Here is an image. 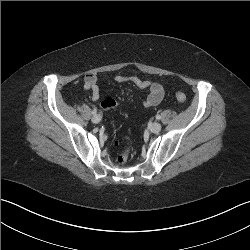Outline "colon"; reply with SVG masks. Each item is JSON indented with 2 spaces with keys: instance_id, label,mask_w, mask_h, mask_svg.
<instances>
[{
  "instance_id": "5ec220e1",
  "label": "colon",
  "mask_w": 250,
  "mask_h": 250,
  "mask_svg": "<svg viewBox=\"0 0 250 250\" xmlns=\"http://www.w3.org/2000/svg\"><path fill=\"white\" fill-rule=\"evenodd\" d=\"M176 98L179 102H185L186 101V95L181 92V91H178L176 93ZM102 107L104 109H108V108H113L115 107V111H120V106H116V102L113 100V99H105L103 102H102ZM124 141H127L128 143H131V137L129 135L125 136L124 137ZM129 153H130V147L127 148L123 153L119 154L118 157H117V162L119 164H123L127 161L128 159V156H129Z\"/></svg>"
}]
</instances>
